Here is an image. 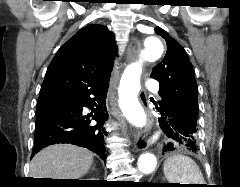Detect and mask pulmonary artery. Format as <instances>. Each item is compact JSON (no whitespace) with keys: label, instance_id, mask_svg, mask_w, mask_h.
Listing matches in <instances>:
<instances>
[{"label":"pulmonary artery","instance_id":"1","mask_svg":"<svg viewBox=\"0 0 240 187\" xmlns=\"http://www.w3.org/2000/svg\"><path fill=\"white\" fill-rule=\"evenodd\" d=\"M147 88H148L149 90H151V91H158L159 85H158V83H157L155 80L149 79V80L147 81Z\"/></svg>","mask_w":240,"mask_h":187}]
</instances>
